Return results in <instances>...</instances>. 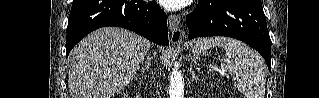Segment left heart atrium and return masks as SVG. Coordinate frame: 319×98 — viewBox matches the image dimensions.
<instances>
[{"label": "left heart atrium", "instance_id": "obj_1", "mask_svg": "<svg viewBox=\"0 0 319 98\" xmlns=\"http://www.w3.org/2000/svg\"><path fill=\"white\" fill-rule=\"evenodd\" d=\"M190 2L191 0H160L161 5L168 10H177Z\"/></svg>", "mask_w": 319, "mask_h": 98}]
</instances>
